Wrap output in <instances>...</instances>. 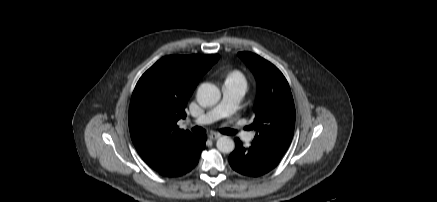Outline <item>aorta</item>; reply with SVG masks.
Masks as SVG:
<instances>
[{"instance_id": "762f6f07", "label": "aorta", "mask_w": 437, "mask_h": 202, "mask_svg": "<svg viewBox=\"0 0 437 202\" xmlns=\"http://www.w3.org/2000/svg\"><path fill=\"white\" fill-rule=\"evenodd\" d=\"M221 98V92L217 86L211 83H202L197 90V101L201 106H213ZM217 149L222 153H231L235 148L234 141L227 136L217 140Z\"/></svg>"}]
</instances>
